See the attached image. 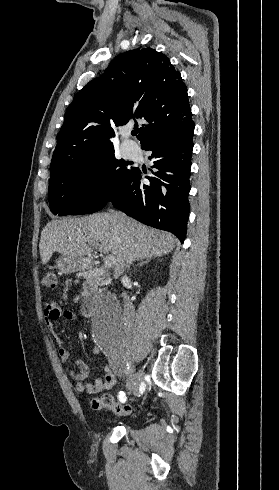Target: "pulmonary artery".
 I'll list each match as a JSON object with an SVG mask.
<instances>
[{
	"label": "pulmonary artery",
	"instance_id": "e3ab8cb5",
	"mask_svg": "<svg viewBox=\"0 0 279 490\" xmlns=\"http://www.w3.org/2000/svg\"><path fill=\"white\" fill-rule=\"evenodd\" d=\"M137 148L138 147L136 144H131V145L125 146L123 148L124 156L127 158H134L136 156Z\"/></svg>",
	"mask_w": 279,
	"mask_h": 490
}]
</instances>
